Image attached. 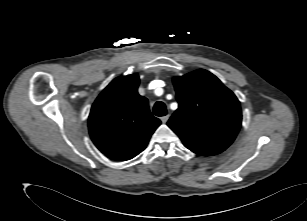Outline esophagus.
Wrapping results in <instances>:
<instances>
[{
    "label": "esophagus",
    "instance_id": "obj_1",
    "mask_svg": "<svg viewBox=\"0 0 307 221\" xmlns=\"http://www.w3.org/2000/svg\"><path fill=\"white\" fill-rule=\"evenodd\" d=\"M168 119H169V114H167V115L161 117L162 123H166V122L168 121Z\"/></svg>",
    "mask_w": 307,
    "mask_h": 221
}]
</instances>
